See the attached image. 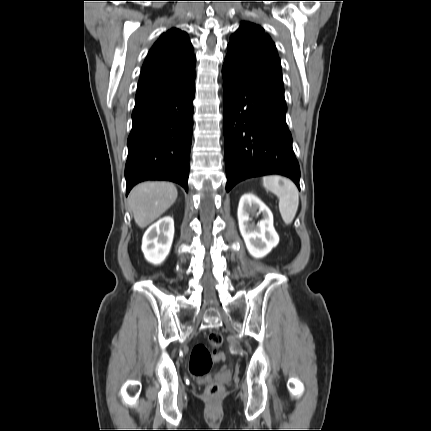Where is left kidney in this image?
I'll use <instances>...</instances> for the list:
<instances>
[{
    "mask_svg": "<svg viewBox=\"0 0 431 431\" xmlns=\"http://www.w3.org/2000/svg\"><path fill=\"white\" fill-rule=\"evenodd\" d=\"M262 213V220L252 223L251 214ZM238 224L246 248L254 258H263L279 243V236L273 226V214L255 195L244 194L238 205Z\"/></svg>",
    "mask_w": 431,
    "mask_h": 431,
    "instance_id": "left-kidney-1",
    "label": "left kidney"
}]
</instances>
